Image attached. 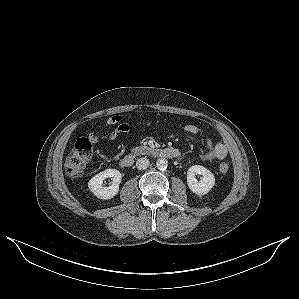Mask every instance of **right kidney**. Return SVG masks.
Here are the masks:
<instances>
[{"instance_id": "ca27d5eb", "label": "right kidney", "mask_w": 299, "mask_h": 299, "mask_svg": "<svg viewBox=\"0 0 299 299\" xmlns=\"http://www.w3.org/2000/svg\"><path fill=\"white\" fill-rule=\"evenodd\" d=\"M106 178L112 179V185L109 187L103 186V181ZM121 179L122 175L118 170L106 169L92 177L88 182V187L96 197L107 200L113 198L118 193Z\"/></svg>"}]
</instances>
